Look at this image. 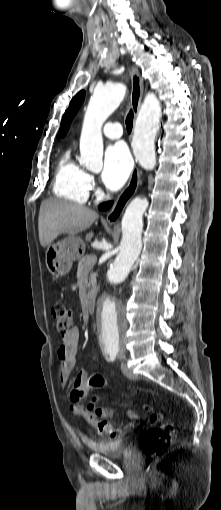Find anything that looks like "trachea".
Masks as SVG:
<instances>
[{
  "label": "trachea",
  "mask_w": 221,
  "mask_h": 510,
  "mask_svg": "<svg viewBox=\"0 0 221 510\" xmlns=\"http://www.w3.org/2000/svg\"><path fill=\"white\" fill-rule=\"evenodd\" d=\"M132 127H133V111L130 110L126 117V128L129 133L131 132Z\"/></svg>",
  "instance_id": "3493384b"
}]
</instances>
